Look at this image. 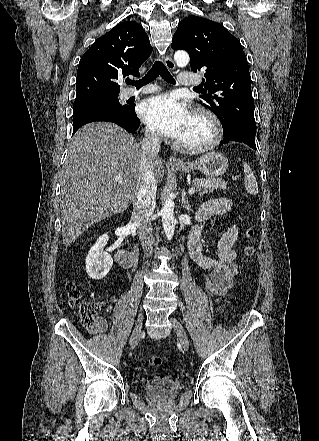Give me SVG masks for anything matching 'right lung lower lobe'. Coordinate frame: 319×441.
<instances>
[{"instance_id":"right-lung-lower-lobe-1","label":"right lung lower lobe","mask_w":319,"mask_h":441,"mask_svg":"<svg viewBox=\"0 0 319 441\" xmlns=\"http://www.w3.org/2000/svg\"><path fill=\"white\" fill-rule=\"evenodd\" d=\"M130 109L126 114L112 110H93L73 116V134L83 125L106 121L113 122L125 128L128 132H134L138 129L140 122L135 114V104L129 105Z\"/></svg>"}]
</instances>
